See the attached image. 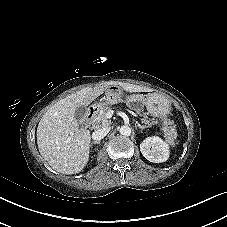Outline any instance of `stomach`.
Here are the masks:
<instances>
[{
  "instance_id": "obj_1",
  "label": "stomach",
  "mask_w": 227,
  "mask_h": 227,
  "mask_svg": "<svg viewBox=\"0 0 227 227\" xmlns=\"http://www.w3.org/2000/svg\"><path fill=\"white\" fill-rule=\"evenodd\" d=\"M123 91L117 85H111L106 91V103L116 104L122 101ZM126 102L131 105L141 103L145 105L149 113L154 116L163 117L169 114L171 104L169 100L159 93H149L146 95L132 94L126 97Z\"/></svg>"
}]
</instances>
